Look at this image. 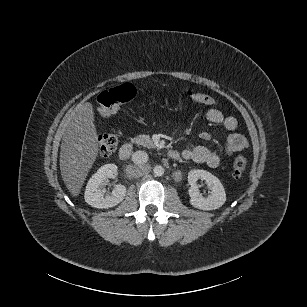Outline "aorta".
I'll return each mask as SVG.
<instances>
[{"label":"aorta","mask_w":307,"mask_h":307,"mask_svg":"<svg viewBox=\"0 0 307 307\" xmlns=\"http://www.w3.org/2000/svg\"><path fill=\"white\" fill-rule=\"evenodd\" d=\"M164 168L162 166H156L154 168V176L162 177L164 175Z\"/></svg>","instance_id":"obj_1"}]
</instances>
